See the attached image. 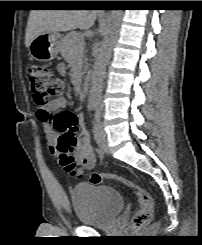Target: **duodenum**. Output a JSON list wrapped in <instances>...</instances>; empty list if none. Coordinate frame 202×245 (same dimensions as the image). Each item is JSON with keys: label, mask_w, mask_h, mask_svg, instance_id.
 I'll list each match as a JSON object with an SVG mask.
<instances>
[{"label": "duodenum", "mask_w": 202, "mask_h": 245, "mask_svg": "<svg viewBox=\"0 0 202 245\" xmlns=\"http://www.w3.org/2000/svg\"><path fill=\"white\" fill-rule=\"evenodd\" d=\"M90 76H86L82 79L81 85H80V91L82 93H85L88 91L89 87H90Z\"/></svg>", "instance_id": "410a0bca"}]
</instances>
